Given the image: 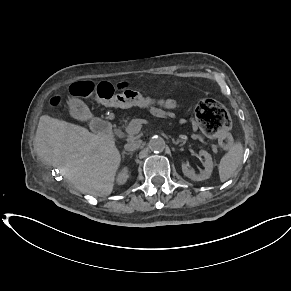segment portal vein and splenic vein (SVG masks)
Masks as SVG:
<instances>
[{"label":"portal vein and splenic vein","mask_w":291,"mask_h":291,"mask_svg":"<svg viewBox=\"0 0 291 291\" xmlns=\"http://www.w3.org/2000/svg\"><path fill=\"white\" fill-rule=\"evenodd\" d=\"M144 123V120L143 119H133L126 131L129 133V134H136L138 133L140 130H141V127H142V124Z\"/></svg>","instance_id":"18ae733b"}]
</instances>
